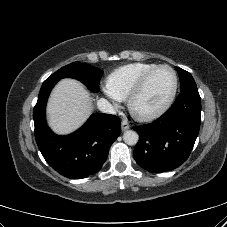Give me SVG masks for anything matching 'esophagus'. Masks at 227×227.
I'll return each instance as SVG.
<instances>
[{
  "label": "esophagus",
  "mask_w": 227,
  "mask_h": 227,
  "mask_svg": "<svg viewBox=\"0 0 227 227\" xmlns=\"http://www.w3.org/2000/svg\"><path fill=\"white\" fill-rule=\"evenodd\" d=\"M121 128H122L123 131H126L130 128V125L127 121H122Z\"/></svg>",
  "instance_id": "obj_1"
}]
</instances>
